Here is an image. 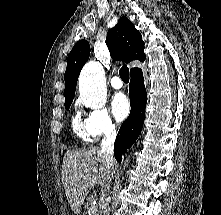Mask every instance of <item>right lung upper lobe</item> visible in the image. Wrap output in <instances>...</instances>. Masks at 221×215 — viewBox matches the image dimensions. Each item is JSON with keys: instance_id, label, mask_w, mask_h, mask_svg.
<instances>
[{"instance_id": "1", "label": "right lung upper lobe", "mask_w": 221, "mask_h": 215, "mask_svg": "<svg viewBox=\"0 0 221 215\" xmlns=\"http://www.w3.org/2000/svg\"><path fill=\"white\" fill-rule=\"evenodd\" d=\"M106 45L110 55L115 60L129 63L133 60L144 61V42L140 32L127 17H121L115 27L111 28L106 37ZM90 45L86 40H80L72 48L67 59L65 71V101L73 100L80 71L87 62ZM136 68H132L133 71ZM130 71V72H131Z\"/></svg>"}]
</instances>
